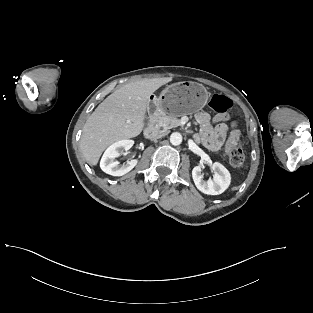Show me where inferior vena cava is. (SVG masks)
I'll list each match as a JSON object with an SVG mask.
<instances>
[{
    "instance_id": "obj_1",
    "label": "inferior vena cava",
    "mask_w": 313,
    "mask_h": 313,
    "mask_svg": "<svg viewBox=\"0 0 313 313\" xmlns=\"http://www.w3.org/2000/svg\"><path fill=\"white\" fill-rule=\"evenodd\" d=\"M167 134L166 130H157V129H152L149 133V138L151 140H157L159 138H162Z\"/></svg>"
}]
</instances>
